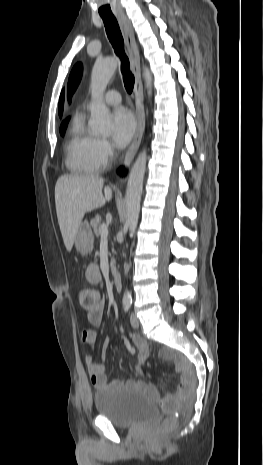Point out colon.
Segmentation results:
<instances>
[{
	"instance_id": "obj_1",
	"label": "colon",
	"mask_w": 263,
	"mask_h": 465,
	"mask_svg": "<svg viewBox=\"0 0 263 465\" xmlns=\"http://www.w3.org/2000/svg\"><path fill=\"white\" fill-rule=\"evenodd\" d=\"M77 299L81 308L85 312L89 313L93 311L100 303V293L96 289L83 287L78 291ZM184 382L186 387L191 385V380L189 377H185ZM161 406L167 413H169L162 425V430L166 432L173 429L177 423V418L174 414L176 401L166 398L161 401Z\"/></svg>"
}]
</instances>
